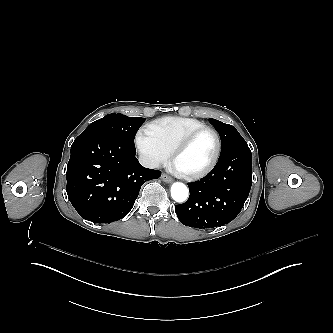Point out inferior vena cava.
<instances>
[{
  "instance_id": "inferior-vena-cava-1",
  "label": "inferior vena cava",
  "mask_w": 333,
  "mask_h": 333,
  "mask_svg": "<svg viewBox=\"0 0 333 333\" xmlns=\"http://www.w3.org/2000/svg\"><path fill=\"white\" fill-rule=\"evenodd\" d=\"M139 162L141 163V165H143L144 167L147 168H157L159 167V163L155 160H152L150 158H148L147 156L144 155H140L139 156Z\"/></svg>"
}]
</instances>
